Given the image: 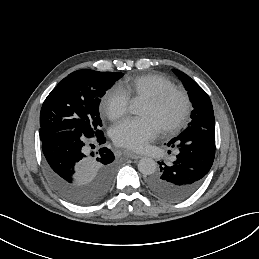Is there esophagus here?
I'll return each mask as SVG.
<instances>
[{
    "label": "esophagus",
    "instance_id": "obj_1",
    "mask_svg": "<svg viewBox=\"0 0 259 259\" xmlns=\"http://www.w3.org/2000/svg\"><path fill=\"white\" fill-rule=\"evenodd\" d=\"M126 155H127L128 158H131V159H139V158H141V156L139 154L134 153L132 151H127Z\"/></svg>",
    "mask_w": 259,
    "mask_h": 259
}]
</instances>
